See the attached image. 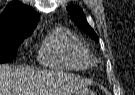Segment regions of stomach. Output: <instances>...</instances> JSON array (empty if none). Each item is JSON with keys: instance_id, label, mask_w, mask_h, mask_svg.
Instances as JSON below:
<instances>
[{"instance_id": "0dacf381", "label": "stomach", "mask_w": 135, "mask_h": 95, "mask_svg": "<svg viewBox=\"0 0 135 95\" xmlns=\"http://www.w3.org/2000/svg\"><path fill=\"white\" fill-rule=\"evenodd\" d=\"M74 95H95V93L89 88H83L82 90L75 93Z\"/></svg>"}]
</instances>
